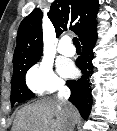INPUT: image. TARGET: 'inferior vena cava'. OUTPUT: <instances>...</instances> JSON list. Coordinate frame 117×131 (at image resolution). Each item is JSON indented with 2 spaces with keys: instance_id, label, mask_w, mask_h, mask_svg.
<instances>
[{
  "instance_id": "602c4592",
  "label": "inferior vena cava",
  "mask_w": 117,
  "mask_h": 131,
  "mask_svg": "<svg viewBox=\"0 0 117 131\" xmlns=\"http://www.w3.org/2000/svg\"><path fill=\"white\" fill-rule=\"evenodd\" d=\"M70 94H71L70 89L68 87H66V86H62L59 89V92H58V100L62 104L65 105L67 113H68L69 117L71 118V116H72L71 104L68 101V98L70 97ZM73 126H74V123L72 122V120H70L69 123H68L67 131H72L73 130Z\"/></svg>"
}]
</instances>
